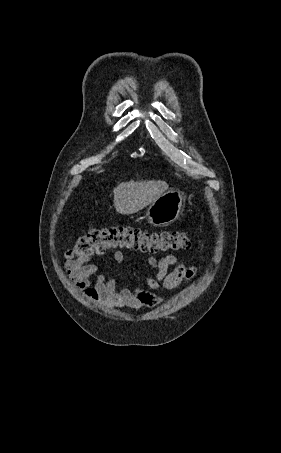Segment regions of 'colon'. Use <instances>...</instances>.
<instances>
[{
	"label": "colon",
	"mask_w": 281,
	"mask_h": 453,
	"mask_svg": "<svg viewBox=\"0 0 281 453\" xmlns=\"http://www.w3.org/2000/svg\"><path fill=\"white\" fill-rule=\"evenodd\" d=\"M190 235L180 230H150L138 226H94L81 235L67 258L88 262L122 249L149 250L150 255L184 252Z\"/></svg>",
	"instance_id": "obj_1"
}]
</instances>
